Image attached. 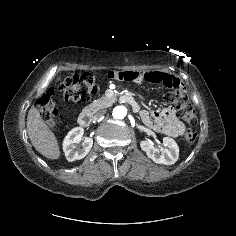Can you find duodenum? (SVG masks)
I'll return each mask as SVG.
<instances>
[{
	"label": "duodenum",
	"mask_w": 236,
	"mask_h": 236,
	"mask_svg": "<svg viewBox=\"0 0 236 236\" xmlns=\"http://www.w3.org/2000/svg\"><path fill=\"white\" fill-rule=\"evenodd\" d=\"M120 100L129 104L134 111L138 112L139 111V104L138 102L135 100V98H133L130 95L124 94L120 96ZM78 121L80 123L81 126L87 127L91 124L92 118H91V114L88 111H83L78 118Z\"/></svg>",
	"instance_id": "duodenum-1"
}]
</instances>
